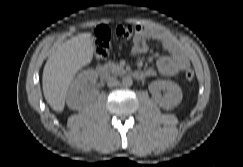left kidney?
I'll return each mask as SVG.
<instances>
[{"label": "left kidney", "instance_id": "obj_1", "mask_svg": "<svg viewBox=\"0 0 243 167\" xmlns=\"http://www.w3.org/2000/svg\"><path fill=\"white\" fill-rule=\"evenodd\" d=\"M165 92L162 97L160 91ZM149 91L152 93L154 101L164 109H172L182 101V90L176 83L172 81L157 80L149 85Z\"/></svg>", "mask_w": 243, "mask_h": 167}]
</instances>
